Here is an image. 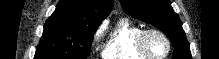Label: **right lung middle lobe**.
I'll use <instances>...</instances> for the list:
<instances>
[{
  "label": "right lung middle lobe",
  "mask_w": 219,
  "mask_h": 59,
  "mask_svg": "<svg viewBox=\"0 0 219 59\" xmlns=\"http://www.w3.org/2000/svg\"><path fill=\"white\" fill-rule=\"evenodd\" d=\"M97 27L47 20L34 59H86Z\"/></svg>",
  "instance_id": "right-lung-middle-lobe-1"
}]
</instances>
